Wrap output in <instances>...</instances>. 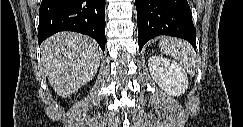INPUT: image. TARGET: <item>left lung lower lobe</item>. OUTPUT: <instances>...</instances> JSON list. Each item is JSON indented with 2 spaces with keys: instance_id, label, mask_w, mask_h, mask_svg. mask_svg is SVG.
Returning a JSON list of instances; mask_svg holds the SVG:
<instances>
[{
  "instance_id": "0a47b994",
  "label": "left lung lower lobe",
  "mask_w": 243,
  "mask_h": 127,
  "mask_svg": "<svg viewBox=\"0 0 243 127\" xmlns=\"http://www.w3.org/2000/svg\"><path fill=\"white\" fill-rule=\"evenodd\" d=\"M135 4L140 50L159 35L185 39L196 50V31L187 0H135Z\"/></svg>"
}]
</instances>
